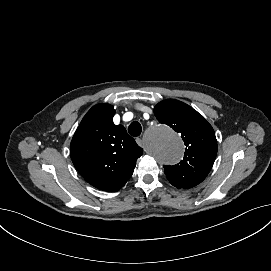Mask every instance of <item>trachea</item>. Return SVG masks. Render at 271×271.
Wrapping results in <instances>:
<instances>
[{"instance_id":"1","label":"trachea","mask_w":271,"mask_h":271,"mask_svg":"<svg viewBox=\"0 0 271 271\" xmlns=\"http://www.w3.org/2000/svg\"><path fill=\"white\" fill-rule=\"evenodd\" d=\"M142 132V127L139 122H132L128 127V133L133 137L140 136Z\"/></svg>"}]
</instances>
